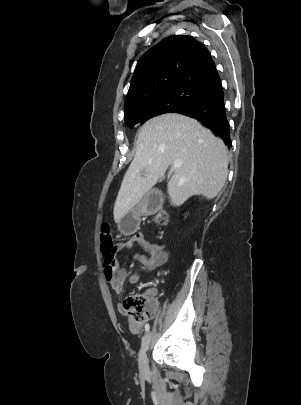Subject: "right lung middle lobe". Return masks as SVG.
I'll use <instances>...</instances> for the list:
<instances>
[{"label": "right lung middle lobe", "mask_w": 301, "mask_h": 405, "mask_svg": "<svg viewBox=\"0 0 301 405\" xmlns=\"http://www.w3.org/2000/svg\"><path fill=\"white\" fill-rule=\"evenodd\" d=\"M210 95L207 92L188 87L169 89L140 100L133 109L124 113L125 122L130 128L137 123L142 125L154 116L202 102Z\"/></svg>", "instance_id": "dd1d6c3e"}]
</instances>
